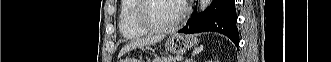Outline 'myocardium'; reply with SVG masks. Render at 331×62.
Returning <instances> with one entry per match:
<instances>
[{
    "instance_id": "f54148a6",
    "label": "myocardium",
    "mask_w": 331,
    "mask_h": 62,
    "mask_svg": "<svg viewBox=\"0 0 331 62\" xmlns=\"http://www.w3.org/2000/svg\"><path fill=\"white\" fill-rule=\"evenodd\" d=\"M150 1L151 0H138V5L135 12V22L138 27L150 34L167 33L179 27L185 14L184 3H180V13L173 23L166 26H159L153 24L146 16V10Z\"/></svg>"
}]
</instances>
